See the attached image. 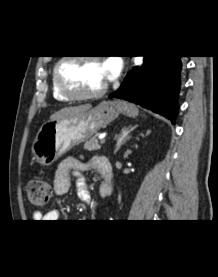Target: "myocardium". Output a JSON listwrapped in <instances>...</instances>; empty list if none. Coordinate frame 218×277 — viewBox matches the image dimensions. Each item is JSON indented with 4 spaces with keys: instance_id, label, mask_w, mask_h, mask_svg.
<instances>
[{
    "instance_id": "myocardium-1",
    "label": "myocardium",
    "mask_w": 218,
    "mask_h": 277,
    "mask_svg": "<svg viewBox=\"0 0 218 277\" xmlns=\"http://www.w3.org/2000/svg\"><path fill=\"white\" fill-rule=\"evenodd\" d=\"M71 60H92V61H99L101 62V59L97 56H80V57H62L54 66L53 69V75L55 78L56 86L58 91L67 99L69 100H86V99H92L102 96L104 93H106L108 89V83L106 82L101 88L98 90L87 92V93H79L71 90L64 80V77L61 72V68L63 64L67 61Z\"/></svg>"
}]
</instances>
